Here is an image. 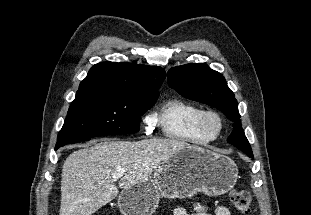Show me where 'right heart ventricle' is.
I'll return each mask as SVG.
<instances>
[{
    "mask_svg": "<svg viewBox=\"0 0 311 215\" xmlns=\"http://www.w3.org/2000/svg\"><path fill=\"white\" fill-rule=\"evenodd\" d=\"M203 111L195 104L173 98L167 100L153 117L167 138L189 144H206L213 139L198 127Z\"/></svg>",
    "mask_w": 311,
    "mask_h": 215,
    "instance_id": "right-heart-ventricle-1",
    "label": "right heart ventricle"
}]
</instances>
